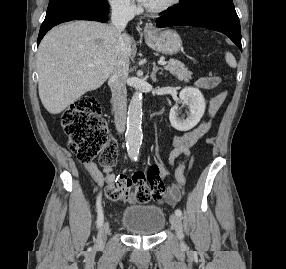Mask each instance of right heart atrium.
<instances>
[{"mask_svg":"<svg viewBox=\"0 0 286 269\" xmlns=\"http://www.w3.org/2000/svg\"><path fill=\"white\" fill-rule=\"evenodd\" d=\"M110 6L117 12L132 15L136 11L133 0H108Z\"/></svg>","mask_w":286,"mask_h":269,"instance_id":"1","label":"right heart atrium"}]
</instances>
